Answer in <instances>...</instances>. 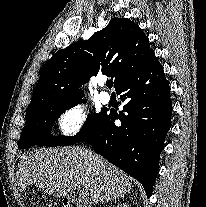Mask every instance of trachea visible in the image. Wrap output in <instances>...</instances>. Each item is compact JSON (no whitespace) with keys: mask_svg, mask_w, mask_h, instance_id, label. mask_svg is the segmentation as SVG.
Masks as SVG:
<instances>
[{"mask_svg":"<svg viewBox=\"0 0 206 207\" xmlns=\"http://www.w3.org/2000/svg\"><path fill=\"white\" fill-rule=\"evenodd\" d=\"M106 85L108 88H111L113 86V82L111 80L106 82Z\"/></svg>","mask_w":206,"mask_h":207,"instance_id":"obj_1","label":"trachea"}]
</instances>
